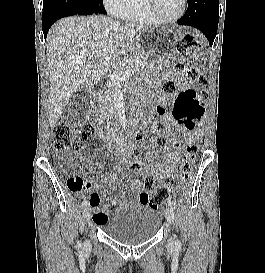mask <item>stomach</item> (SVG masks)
<instances>
[{
    "mask_svg": "<svg viewBox=\"0 0 265 273\" xmlns=\"http://www.w3.org/2000/svg\"><path fill=\"white\" fill-rule=\"evenodd\" d=\"M185 35L183 25H166V30L144 29L135 38V44H128V49H146L136 56L139 64L137 78H150V73H158V69H167L172 64L169 56H175V51H160L159 49H174L177 40Z\"/></svg>",
    "mask_w": 265,
    "mask_h": 273,
    "instance_id": "obj_1",
    "label": "stomach"
}]
</instances>
